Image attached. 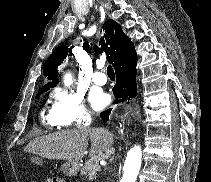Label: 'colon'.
Masks as SVG:
<instances>
[{
    "instance_id": "obj_1",
    "label": "colon",
    "mask_w": 211,
    "mask_h": 182,
    "mask_svg": "<svg viewBox=\"0 0 211 182\" xmlns=\"http://www.w3.org/2000/svg\"><path fill=\"white\" fill-rule=\"evenodd\" d=\"M45 182H65L62 177L59 176H48Z\"/></svg>"
}]
</instances>
